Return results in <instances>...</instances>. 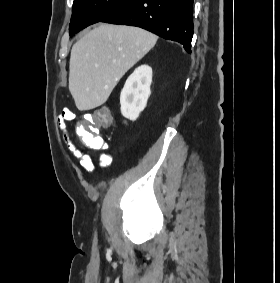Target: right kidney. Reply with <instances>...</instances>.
<instances>
[{
    "label": "right kidney",
    "instance_id": "right-kidney-1",
    "mask_svg": "<svg viewBox=\"0 0 280 283\" xmlns=\"http://www.w3.org/2000/svg\"><path fill=\"white\" fill-rule=\"evenodd\" d=\"M152 69L141 65L128 77L120 94L122 115L135 121L147 105L151 94Z\"/></svg>",
    "mask_w": 280,
    "mask_h": 283
}]
</instances>
